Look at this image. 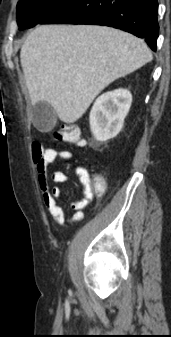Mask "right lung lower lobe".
<instances>
[{
  "mask_svg": "<svg viewBox=\"0 0 171 337\" xmlns=\"http://www.w3.org/2000/svg\"><path fill=\"white\" fill-rule=\"evenodd\" d=\"M157 14V0H67L40 24L106 25L143 38L156 51Z\"/></svg>",
  "mask_w": 171,
  "mask_h": 337,
  "instance_id": "98d812e1",
  "label": "right lung lower lobe"
}]
</instances>
